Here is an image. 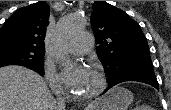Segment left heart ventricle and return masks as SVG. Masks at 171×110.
Instances as JSON below:
<instances>
[{
  "label": "left heart ventricle",
  "instance_id": "obj_1",
  "mask_svg": "<svg viewBox=\"0 0 171 110\" xmlns=\"http://www.w3.org/2000/svg\"><path fill=\"white\" fill-rule=\"evenodd\" d=\"M98 86V78L93 71H88V74L82 84L75 90L77 95H87L93 92Z\"/></svg>",
  "mask_w": 171,
  "mask_h": 110
}]
</instances>
